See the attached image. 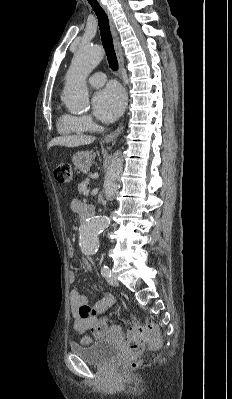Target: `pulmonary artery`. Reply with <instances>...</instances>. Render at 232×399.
Listing matches in <instances>:
<instances>
[{
	"label": "pulmonary artery",
	"instance_id": "1",
	"mask_svg": "<svg viewBox=\"0 0 232 399\" xmlns=\"http://www.w3.org/2000/svg\"><path fill=\"white\" fill-rule=\"evenodd\" d=\"M89 82L91 84V90H103V84H108V77H105L104 73L98 70L97 73H92Z\"/></svg>",
	"mask_w": 232,
	"mask_h": 399
}]
</instances>
